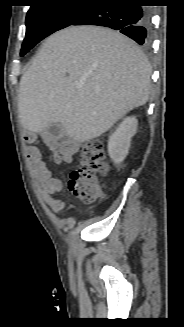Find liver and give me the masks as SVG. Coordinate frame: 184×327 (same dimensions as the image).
Instances as JSON below:
<instances>
[{
	"instance_id": "1",
	"label": "liver",
	"mask_w": 184,
	"mask_h": 327,
	"mask_svg": "<svg viewBox=\"0 0 184 327\" xmlns=\"http://www.w3.org/2000/svg\"><path fill=\"white\" fill-rule=\"evenodd\" d=\"M152 68L136 43L111 29L73 26L43 43L18 90L24 129L60 123L84 143L101 136L150 95Z\"/></svg>"
}]
</instances>
